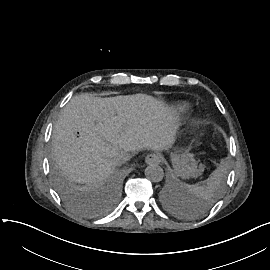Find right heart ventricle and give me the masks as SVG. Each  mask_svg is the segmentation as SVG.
<instances>
[{
    "label": "right heart ventricle",
    "mask_w": 270,
    "mask_h": 270,
    "mask_svg": "<svg viewBox=\"0 0 270 270\" xmlns=\"http://www.w3.org/2000/svg\"><path fill=\"white\" fill-rule=\"evenodd\" d=\"M188 108H189V105H188L187 103H176V104L173 106L174 112H175L176 114L185 112Z\"/></svg>",
    "instance_id": "right-heart-ventricle-1"
}]
</instances>
